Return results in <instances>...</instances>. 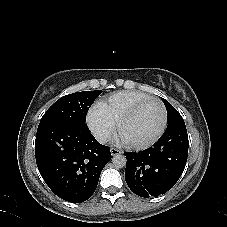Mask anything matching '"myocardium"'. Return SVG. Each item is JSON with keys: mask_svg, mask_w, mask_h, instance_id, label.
<instances>
[{"mask_svg": "<svg viewBox=\"0 0 227 227\" xmlns=\"http://www.w3.org/2000/svg\"><path fill=\"white\" fill-rule=\"evenodd\" d=\"M152 101L159 103L162 108V113H163L162 124H161L159 130L156 132V134L148 141H145L142 143H129V146L134 149H139V150L147 149V148L153 146L163 136V134L167 128V125H168V112H167V108H166L165 104L159 98L149 97V98L142 100L139 103L135 104L117 122V131L120 134L123 126L128 121H130L145 104L152 102Z\"/></svg>", "mask_w": 227, "mask_h": 227, "instance_id": "f54148a6", "label": "myocardium"}]
</instances>
